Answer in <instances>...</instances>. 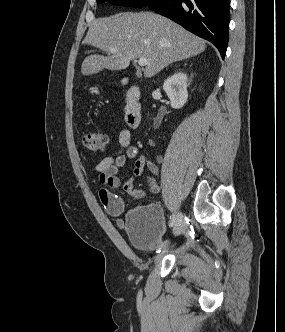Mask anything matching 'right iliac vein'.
I'll use <instances>...</instances> for the list:
<instances>
[{
  "label": "right iliac vein",
  "mask_w": 285,
  "mask_h": 332,
  "mask_svg": "<svg viewBox=\"0 0 285 332\" xmlns=\"http://www.w3.org/2000/svg\"><path fill=\"white\" fill-rule=\"evenodd\" d=\"M183 226V215L181 213H178L176 216L173 233L175 235L179 234Z\"/></svg>",
  "instance_id": "63e3f726"
}]
</instances>
